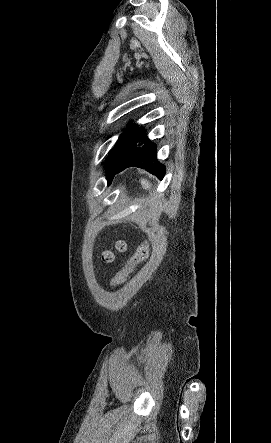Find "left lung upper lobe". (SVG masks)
<instances>
[{
    "instance_id": "5c2ea615",
    "label": "left lung upper lobe",
    "mask_w": 271,
    "mask_h": 443,
    "mask_svg": "<svg viewBox=\"0 0 271 443\" xmlns=\"http://www.w3.org/2000/svg\"><path fill=\"white\" fill-rule=\"evenodd\" d=\"M123 137H124V134H122L119 137L117 144L115 145L114 149L110 152V154L106 160L105 167H106V175H107L108 182L110 181V172H111L114 160H115L117 152H118L119 144H120L121 140L123 139Z\"/></svg>"
}]
</instances>
